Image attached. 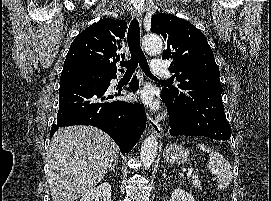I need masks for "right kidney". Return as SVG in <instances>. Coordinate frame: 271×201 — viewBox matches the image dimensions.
<instances>
[{"mask_svg": "<svg viewBox=\"0 0 271 201\" xmlns=\"http://www.w3.org/2000/svg\"><path fill=\"white\" fill-rule=\"evenodd\" d=\"M111 201V185L108 182H103L96 188L88 191L80 201Z\"/></svg>", "mask_w": 271, "mask_h": 201, "instance_id": "obj_1", "label": "right kidney"}]
</instances>
